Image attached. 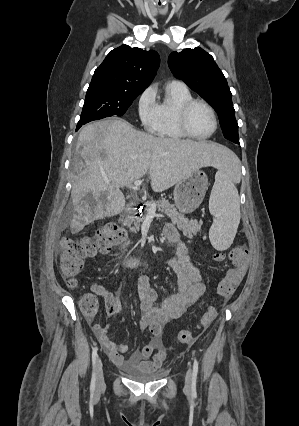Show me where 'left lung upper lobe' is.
Listing matches in <instances>:
<instances>
[{"label":"left lung upper lobe","mask_w":299,"mask_h":426,"mask_svg":"<svg viewBox=\"0 0 299 426\" xmlns=\"http://www.w3.org/2000/svg\"><path fill=\"white\" fill-rule=\"evenodd\" d=\"M168 65L176 78L215 108L224 137L239 144L232 94L213 57L201 48H187L179 53L172 52Z\"/></svg>","instance_id":"obj_1"}]
</instances>
